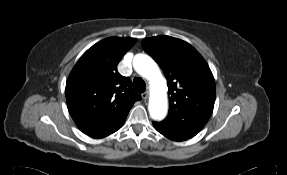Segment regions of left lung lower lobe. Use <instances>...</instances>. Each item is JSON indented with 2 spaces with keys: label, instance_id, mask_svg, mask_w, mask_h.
<instances>
[{
  "label": "left lung lower lobe",
  "instance_id": "1",
  "mask_svg": "<svg viewBox=\"0 0 287 175\" xmlns=\"http://www.w3.org/2000/svg\"><path fill=\"white\" fill-rule=\"evenodd\" d=\"M153 125H154V128L159 133H161L165 137L169 138L170 140H173V141H184V140H187L186 137H184V136H182V135L170 130L169 128L165 127L161 123L154 122Z\"/></svg>",
  "mask_w": 287,
  "mask_h": 175
}]
</instances>
